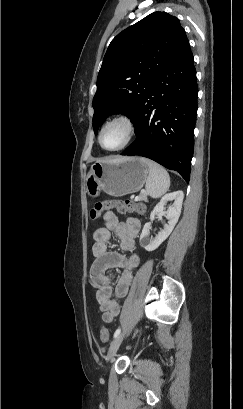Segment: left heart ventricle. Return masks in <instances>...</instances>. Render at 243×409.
Segmentation results:
<instances>
[{"mask_svg":"<svg viewBox=\"0 0 243 409\" xmlns=\"http://www.w3.org/2000/svg\"><path fill=\"white\" fill-rule=\"evenodd\" d=\"M126 138V129L122 124H112L102 133V143L106 148L113 149L120 146Z\"/></svg>","mask_w":243,"mask_h":409,"instance_id":"obj_1","label":"left heart ventricle"}]
</instances>
